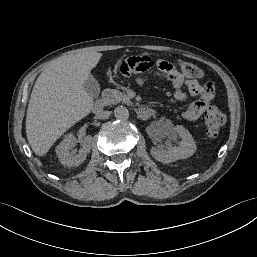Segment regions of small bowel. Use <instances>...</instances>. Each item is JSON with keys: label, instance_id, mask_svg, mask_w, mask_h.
Here are the masks:
<instances>
[{"label": "small bowel", "instance_id": "small-bowel-1", "mask_svg": "<svg viewBox=\"0 0 257 257\" xmlns=\"http://www.w3.org/2000/svg\"><path fill=\"white\" fill-rule=\"evenodd\" d=\"M117 72L120 77L132 80L137 87L149 85L151 76L165 79L173 83V96L177 100H185L189 95L199 96V99L192 102L182 113V117L187 121L197 120L213 97L214 88L211 83L201 85L195 78H186L182 71L174 69L170 61L154 62L146 54H137L120 60Z\"/></svg>", "mask_w": 257, "mask_h": 257}]
</instances>
